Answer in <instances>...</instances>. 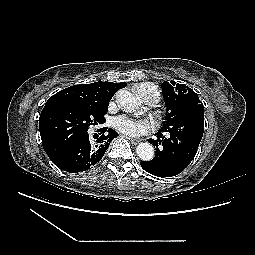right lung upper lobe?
I'll list each match as a JSON object with an SVG mask.
<instances>
[{
  "mask_svg": "<svg viewBox=\"0 0 255 255\" xmlns=\"http://www.w3.org/2000/svg\"><path fill=\"white\" fill-rule=\"evenodd\" d=\"M127 86V83L95 82L80 84L63 89L50 97L45 107L56 103H109L117 90Z\"/></svg>",
  "mask_w": 255,
  "mask_h": 255,
  "instance_id": "obj_1",
  "label": "right lung upper lobe"
}]
</instances>
